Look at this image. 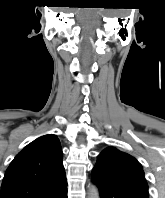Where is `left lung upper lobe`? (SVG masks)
<instances>
[{
    "label": "left lung upper lobe",
    "instance_id": "5c2ea615",
    "mask_svg": "<svg viewBox=\"0 0 165 198\" xmlns=\"http://www.w3.org/2000/svg\"><path fill=\"white\" fill-rule=\"evenodd\" d=\"M92 172L119 189L140 198H149L141 164L131 155L114 147L106 148L98 156Z\"/></svg>",
    "mask_w": 165,
    "mask_h": 198
}]
</instances>
